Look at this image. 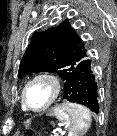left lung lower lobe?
Returning <instances> with one entry per match:
<instances>
[{
    "label": "left lung lower lobe",
    "instance_id": "0a47b994",
    "mask_svg": "<svg viewBox=\"0 0 117 136\" xmlns=\"http://www.w3.org/2000/svg\"><path fill=\"white\" fill-rule=\"evenodd\" d=\"M92 68V60L88 57L75 66L65 82L63 98L84 105L98 114V85Z\"/></svg>",
    "mask_w": 117,
    "mask_h": 136
}]
</instances>
